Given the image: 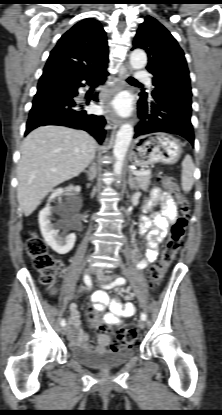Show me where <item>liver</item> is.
Segmentation results:
<instances>
[{
    "label": "liver",
    "mask_w": 222,
    "mask_h": 415,
    "mask_svg": "<svg viewBox=\"0 0 222 415\" xmlns=\"http://www.w3.org/2000/svg\"><path fill=\"white\" fill-rule=\"evenodd\" d=\"M96 147L87 132L63 126H42L29 133L17 167V199L24 215H31L54 187L78 176Z\"/></svg>",
    "instance_id": "1"
}]
</instances>
